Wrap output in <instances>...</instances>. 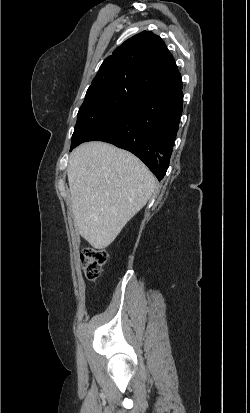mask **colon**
Returning a JSON list of instances; mask_svg holds the SVG:
<instances>
[{
  "label": "colon",
  "instance_id": "5ec220e1",
  "mask_svg": "<svg viewBox=\"0 0 250 413\" xmlns=\"http://www.w3.org/2000/svg\"><path fill=\"white\" fill-rule=\"evenodd\" d=\"M107 258L108 254L104 249L85 248L81 254V263L85 276L89 280L97 279L102 273Z\"/></svg>",
  "mask_w": 250,
  "mask_h": 413
}]
</instances>
